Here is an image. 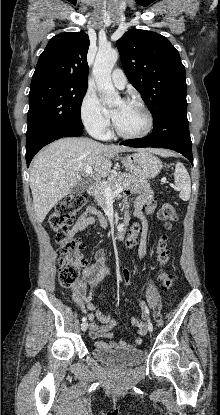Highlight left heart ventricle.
Returning a JSON list of instances; mask_svg holds the SVG:
<instances>
[{
	"label": "left heart ventricle",
	"mask_w": 220,
	"mask_h": 415,
	"mask_svg": "<svg viewBox=\"0 0 220 415\" xmlns=\"http://www.w3.org/2000/svg\"><path fill=\"white\" fill-rule=\"evenodd\" d=\"M113 111L118 112V117L115 121L119 129L125 133H140L147 127V116L136 105L120 101L113 106Z\"/></svg>",
	"instance_id": "left-heart-ventricle-1"
}]
</instances>
